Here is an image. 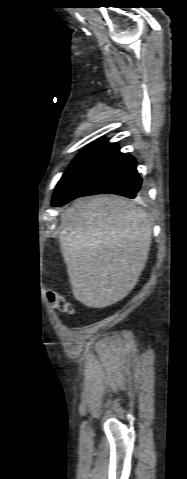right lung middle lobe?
<instances>
[{
	"instance_id": "dd1d6c3e",
	"label": "right lung middle lobe",
	"mask_w": 187,
	"mask_h": 479,
	"mask_svg": "<svg viewBox=\"0 0 187 479\" xmlns=\"http://www.w3.org/2000/svg\"><path fill=\"white\" fill-rule=\"evenodd\" d=\"M114 149H116V146L112 143H108L107 140L96 141L83 149L72 161L58 182L52 203L56 201L79 176L111 153Z\"/></svg>"
}]
</instances>
